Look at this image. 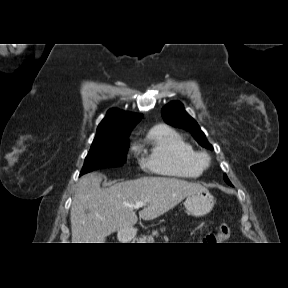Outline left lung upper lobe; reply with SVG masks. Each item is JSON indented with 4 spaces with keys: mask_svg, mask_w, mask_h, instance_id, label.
I'll list each match as a JSON object with an SVG mask.
<instances>
[{
    "mask_svg": "<svg viewBox=\"0 0 288 288\" xmlns=\"http://www.w3.org/2000/svg\"><path fill=\"white\" fill-rule=\"evenodd\" d=\"M161 114L167 124L189 131L199 144L206 148L213 149L207 142L197 122L186 113L180 102L175 101L169 103L162 109ZM224 180L227 184L232 185L226 174H224Z\"/></svg>",
    "mask_w": 288,
    "mask_h": 288,
    "instance_id": "5c2ea615",
    "label": "left lung upper lobe"
}]
</instances>
